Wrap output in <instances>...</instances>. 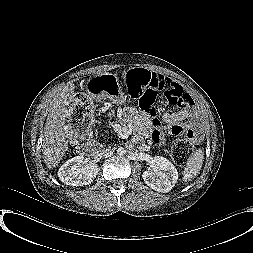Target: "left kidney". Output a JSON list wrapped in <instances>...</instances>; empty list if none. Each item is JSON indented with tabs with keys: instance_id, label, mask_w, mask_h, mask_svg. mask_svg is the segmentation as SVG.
I'll return each mask as SVG.
<instances>
[{
	"instance_id": "1",
	"label": "left kidney",
	"mask_w": 253,
	"mask_h": 253,
	"mask_svg": "<svg viewBox=\"0 0 253 253\" xmlns=\"http://www.w3.org/2000/svg\"><path fill=\"white\" fill-rule=\"evenodd\" d=\"M151 171L142 174L144 182L153 190L167 193L171 191L178 180L175 166L166 158L155 156L150 164Z\"/></svg>"
}]
</instances>
